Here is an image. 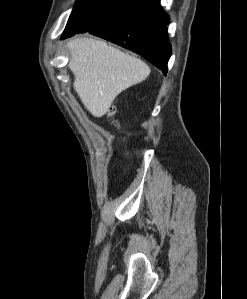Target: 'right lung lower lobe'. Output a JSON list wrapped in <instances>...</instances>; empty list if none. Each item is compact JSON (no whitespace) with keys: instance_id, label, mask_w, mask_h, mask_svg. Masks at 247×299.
<instances>
[{"instance_id":"obj_1","label":"right lung lower lobe","mask_w":247,"mask_h":299,"mask_svg":"<svg viewBox=\"0 0 247 299\" xmlns=\"http://www.w3.org/2000/svg\"><path fill=\"white\" fill-rule=\"evenodd\" d=\"M168 23L160 0H136L122 15L89 32L134 51L166 75L172 51Z\"/></svg>"}]
</instances>
